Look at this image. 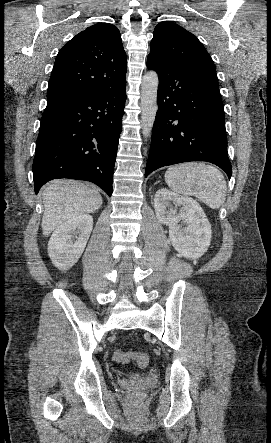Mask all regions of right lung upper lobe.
I'll list each match as a JSON object with an SVG mask.
<instances>
[{
    "mask_svg": "<svg viewBox=\"0 0 271 443\" xmlns=\"http://www.w3.org/2000/svg\"><path fill=\"white\" fill-rule=\"evenodd\" d=\"M127 57L118 28L99 23L77 34L59 51L47 102L111 90L126 83Z\"/></svg>",
    "mask_w": 271,
    "mask_h": 443,
    "instance_id": "cb5924a9",
    "label": "right lung upper lobe"
}]
</instances>
